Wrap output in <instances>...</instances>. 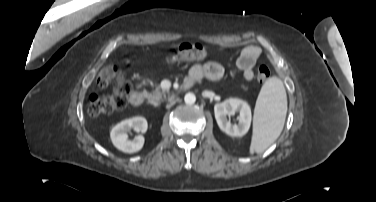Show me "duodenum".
I'll return each instance as SVG.
<instances>
[{
    "instance_id": "obj_1",
    "label": "duodenum",
    "mask_w": 376,
    "mask_h": 202,
    "mask_svg": "<svg viewBox=\"0 0 376 202\" xmlns=\"http://www.w3.org/2000/svg\"><path fill=\"white\" fill-rule=\"evenodd\" d=\"M189 85L186 83L185 87H188ZM143 95L139 91H134L130 96V103L132 106H140L143 103Z\"/></svg>"
}]
</instances>
